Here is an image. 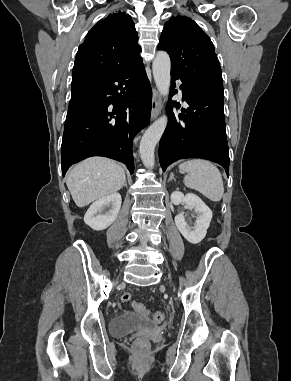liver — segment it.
Here are the masks:
<instances>
[{"instance_id":"1","label":"liver","mask_w":291,"mask_h":381,"mask_svg":"<svg viewBox=\"0 0 291 381\" xmlns=\"http://www.w3.org/2000/svg\"><path fill=\"white\" fill-rule=\"evenodd\" d=\"M126 180L124 169L115 161L91 157L76 165L67 175L66 184L78 207L120 190Z\"/></svg>"}]
</instances>
